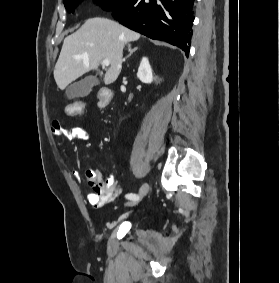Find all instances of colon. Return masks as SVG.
Returning a JSON list of instances; mask_svg holds the SVG:
<instances>
[{
	"instance_id": "obj_1",
	"label": "colon",
	"mask_w": 280,
	"mask_h": 283,
	"mask_svg": "<svg viewBox=\"0 0 280 283\" xmlns=\"http://www.w3.org/2000/svg\"><path fill=\"white\" fill-rule=\"evenodd\" d=\"M97 92H100V100L105 103L111 99V93L108 91V87H97ZM84 99H75L74 103H67L65 107L66 116H83L84 111Z\"/></svg>"
}]
</instances>
